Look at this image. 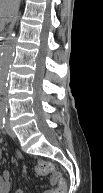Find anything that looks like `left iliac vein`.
<instances>
[{
  "instance_id": "1",
  "label": "left iliac vein",
  "mask_w": 103,
  "mask_h": 193,
  "mask_svg": "<svg viewBox=\"0 0 103 193\" xmlns=\"http://www.w3.org/2000/svg\"><path fill=\"white\" fill-rule=\"evenodd\" d=\"M5 129H6V132L8 133L9 136H11L13 138L16 136L14 131L11 129L9 120L6 121Z\"/></svg>"
}]
</instances>
